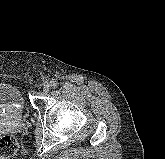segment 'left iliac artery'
Segmentation results:
<instances>
[{
	"instance_id": "left-iliac-artery-1",
	"label": "left iliac artery",
	"mask_w": 165,
	"mask_h": 159,
	"mask_svg": "<svg viewBox=\"0 0 165 159\" xmlns=\"http://www.w3.org/2000/svg\"><path fill=\"white\" fill-rule=\"evenodd\" d=\"M57 86V82L56 81H52L51 82V87L55 88Z\"/></svg>"
}]
</instances>
